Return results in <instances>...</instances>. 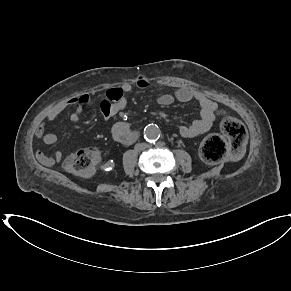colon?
Listing matches in <instances>:
<instances>
[{
  "label": "colon",
  "instance_id": "1",
  "mask_svg": "<svg viewBox=\"0 0 291 291\" xmlns=\"http://www.w3.org/2000/svg\"><path fill=\"white\" fill-rule=\"evenodd\" d=\"M224 138L218 134L206 137L200 148L202 159L208 163H219L225 158L229 146L238 153L244 145L247 132L244 125L233 116H225L220 122ZM100 160V152L95 147H86L70 154L64 161V169L78 176L91 175Z\"/></svg>",
  "mask_w": 291,
  "mask_h": 291
}]
</instances>
